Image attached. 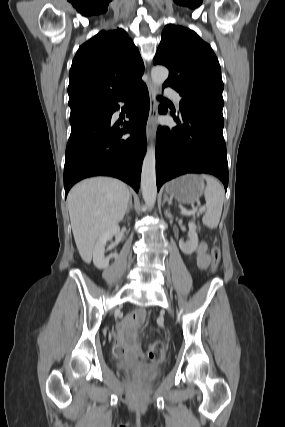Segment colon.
Instances as JSON below:
<instances>
[{
    "instance_id": "5ec220e1",
    "label": "colon",
    "mask_w": 285,
    "mask_h": 427,
    "mask_svg": "<svg viewBox=\"0 0 285 427\" xmlns=\"http://www.w3.org/2000/svg\"><path fill=\"white\" fill-rule=\"evenodd\" d=\"M221 252L218 246H214L211 249V269L216 271L220 264ZM115 353L117 355H124L125 348L117 344L115 347ZM148 356L153 361H161L164 358V345L160 341H153L148 344Z\"/></svg>"
}]
</instances>
